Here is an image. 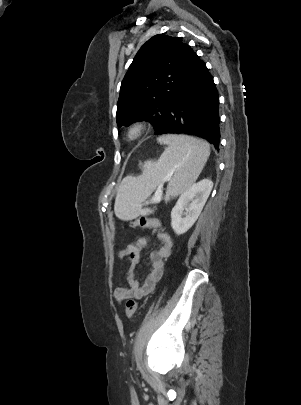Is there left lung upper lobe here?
Here are the masks:
<instances>
[{"label": "left lung upper lobe", "instance_id": "left-lung-upper-lobe-1", "mask_svg": "<svg viewBox=\"0 0 301 405\" xmlns=\"http://www.w3.org/2000/svg\"><path fill=\"white\" fill-rule=\"evenodd\" d=\"M195 52L178 37L153 36L138 51L120 88L117 125L147 120L155 133L181 86Z\"/></svg>", "mask_w": 301, "mask_h": 405}]
</instances>
